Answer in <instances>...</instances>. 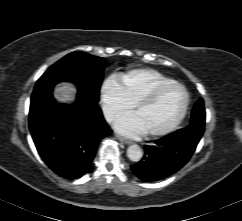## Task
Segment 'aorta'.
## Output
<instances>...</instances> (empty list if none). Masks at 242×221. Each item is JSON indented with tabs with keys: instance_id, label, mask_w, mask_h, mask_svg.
<instances>
[{
	"instance_id": "1",
	"label": "aorta",
	"mask_w": 242,
	"mask_h": 221,
	"mask_svg": "<svg viewBox=\"0 0 242 221\" xmlns=\"http://www.w3.org/2000/svg\"><path fill=\"white\" fill-rule=\"evenodd\" d=\"M127 156L133 162H138L143 156L142 149L137 144H133L127 149Z\"/></svg>"
}]
</instances>
